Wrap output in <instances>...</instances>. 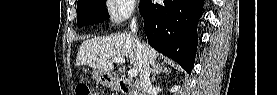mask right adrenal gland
<instances>
[{
	"mask_svg": "<svg viewBox=\"0 0 277 95\" xmlns=\"http://www.w3.org/2000/svg\"><path fill=\"white\" fill-rule=\"evenodd\" d=\"M151 74H152V77H151V82L154 83L155 81V78L157 75L161 74V73H168L169 72V69H167L166 67L164 66H160V65H155L152 67L151 69Z\"/></svg>",
	"mask_w": 277,
	"mask_h": 95,
	"instance_id": "2a0ac1e0",
	"label": "right adrenal gland"
}]
</instances>
